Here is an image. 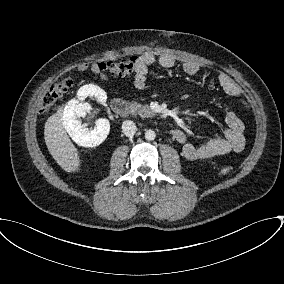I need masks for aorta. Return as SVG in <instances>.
Returning <instances> with one entry per match:
<instances>
[{
    "label": "aorta",
    "instance_id": "1",
    "mask_svg": "<svg viewBox=\"0 0 284 284\" xmlns=\"http://www.w3.org/2000/svg\"><path fill=\"white\" fill-rule=\"evenodd\" d=\"M155 137H156L155 131H153V130H147V131L145 132V139H146V140L152 141V140L155 139Z\"/></svg>",
    "mask_w": 284,
    "mask_h": 284
}]
</instances>
